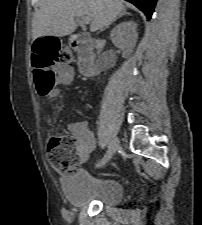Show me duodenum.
<instances>
[{"instance_id":"1","label":"duodenum","mask_w":202,"mask_h":225,"mask_svg":"<svg viewBox=\"0 0 202 225\" xmlns=\"http://www.w3.org/2000/svg\"><path fill=\"white\" fill-rule=\"evenodd\" d=\"M69 38L78 56L79 72L87 77L93 76L96 72V52L94 50V44L88 38L80 34H71Z\"/></svg>"}]
</instances>
